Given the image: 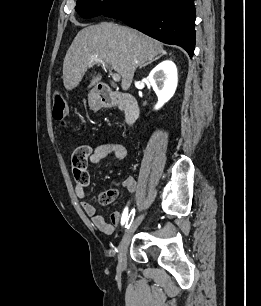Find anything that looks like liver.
Here are the masks:
<instances>
[{
    "mask_svg": "<svg viewBox=\"0 0 261 306\" xmlns=\"http://www.w3.org/2000/svg\"><path fill=\"white\" fill-rule=\"evenodd\" d=\"M165 51L160 42L143 33L113 23H101L83 28L70 45L63 62V83L67 90L79 85L92 57L106 61L122 78L121 87L128 90L138 66ZM95 75L89 88L100 82Z\"/></svg>",
    "mask_w": 261,
    "mask_h": 306,
    "instance_id": "6515ba94",
    "label": "liver"
}]
</instances>
